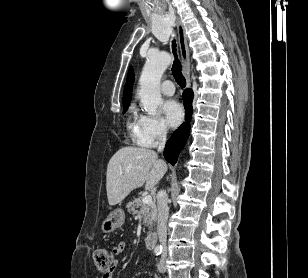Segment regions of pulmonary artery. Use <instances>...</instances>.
I'll use <instances>...</instances> for the list:
<instances>
[{
	"mask_svg": "<svg viewBox=\"0 0 308 278\" xmlns=\"http://www.w3.org/2000/svg\"><path fill=\"white\" fill-rule=\"evenodd\" d=\"M160 89L161 92L166 96H172L175 91L174 84L170 80L164 81Z\"/></svg>",
	"mask_w": 308,
	"mask_h": 278,
	"instance_id": "pulmonary-artery-1",
	"label": "pulmonary artery"
}]
</instances>
